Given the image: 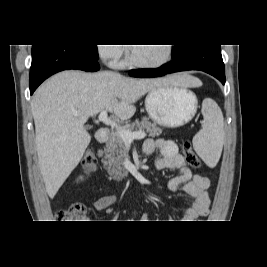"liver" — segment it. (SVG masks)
Instances as JSON below:
<instances>
[{"mask_svg": "<svg viewBox=\"0 0 267 267\" xmlns=\"http://www.w3.org/2000/svg\"><path fill=\"white\" fill-rule=\"evenodd\" d=\"M169 85L200 87L202 82L187 74L134 79L109 71H63L43 83L33 96L31 111L39 167L49 197L54 198L91 141L84 127L88 117L106 110L127 120L136 111V101Z\"/></svg>", "mask_w": 267, "mask_h": 267, "instance_id": "1", "label": "liver"}]
</instances>
